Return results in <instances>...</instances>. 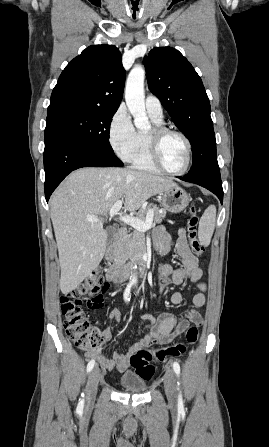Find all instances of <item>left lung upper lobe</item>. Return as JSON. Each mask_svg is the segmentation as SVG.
I'll list each match as a JSON object with an SVG mask.
<instances>
[{
  "mask_svg": "<svg viewBox=\"0 0 269 447\" xmlns=\"http://www.w3.org/2000/svg\"><path fill=\"white\" fill-rule=\"evenodd\" d=\"M150 91L189 139L191 179L220 175L211 108L202 80L182 54L171 47L152 49L143 61Z\"/></svg>",
  "mask_w": 269,
  "mask_h": 447,
  "instance_id": "obj_1",
  "label": "left lung upper lobe"
}]
</instances>
